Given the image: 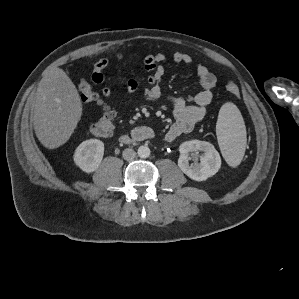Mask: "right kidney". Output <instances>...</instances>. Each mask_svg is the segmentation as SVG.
<instances>
[{
  "instance_id": "1",
  "label": "right kidney",
  "mask_w": 299,
  "mask_h": 299,
  "mask_svg": "<svg viewBox=\"0 0 299 299\" xmlns=\"http://www.w3.org/2000/svg\"><path fill=\"white\" fill-rule=\"evenodd\" d=\"M103 154L104 143L98 139H89L76 148L73 159L82 171L92 173L101 164Z\"/></svg>"
}]
</instances>
